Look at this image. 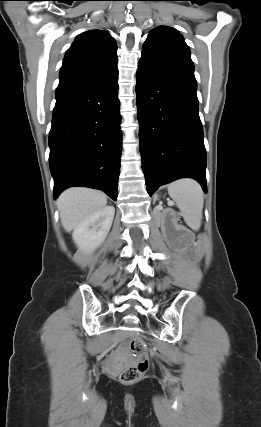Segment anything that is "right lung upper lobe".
Here are the masks:
<instances>
[{
  "instance_id": "cb5924a9",
  "label": "right lung upper lobe",
  "mask_w": 261,
  "mask_h": 427,
  "mask_svg": "<svg viewBox=\"0 0 261 427\" xmlns=\"http://www.w3.org/2000/svg\"><path fill=\"white\" fill-rule=\"evenodd\" d=\"M117 44L106 31L78 35L67 50L60 70L56 95L101 80L117 70Z\"/></svg>"
}]
</instances>
